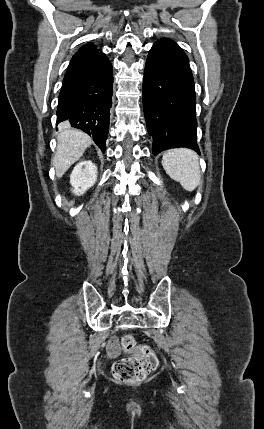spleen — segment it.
<instances>
[{
    "label": "spleen",
    "instance_id": "obj_1",
    "mask_svg": "<svg viewBox=\"0 0 264 429\" xmlns=\"http://www.w3.org/2000/svg\"><path fill=\"white\" fill-rule=\"evenodd\" d=\"M166 173L187 191L195 190L201 183L198 155L188 148H174L162 157Z\"/></svg>",
    "mask_w": 264,
    "mask_h": 429
}]
</instances>
